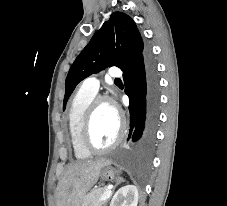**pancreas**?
Here are the masks:
<instances>
[{
  "mask_svg": "<svg viewBox=\"0 0 227 206\" xmlns=\"http://www.w3.org/2000/svg\"><path fill=\"white\" fill-rule=\"evenodd\" d=\"M107 191L106 187H101L92 190L90 193L84 196L81 206H103L106 204V200L100 201L101 196Z\"/></svg>",
  "mask_w": 227,
  "mask_h": 206,
  "instance_id": "1",
  "label": "pancreas"
}]
</instances>
